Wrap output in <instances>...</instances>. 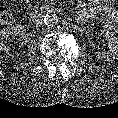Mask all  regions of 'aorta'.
<instances>
[{"label": "aorta", "mask_w": 118, "mask_h": 118, "mask_svg": "<svg viewBox=\"0 0 118 118\" xmlns=\"http://www.w3.org/2000/svg\"><path fill=\"white\" fill-rule=\"evenodd\" d=\"M59 18L55 14H47L44 17V24L49 27L56 26L58 24Z\"/></svg>", "instance_id": "762f6f07"}]
</instances>
